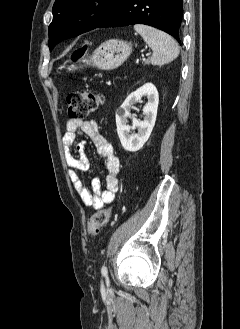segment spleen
Returning a JSON list of instances; mask_svg holds the SVG:
<instances>
[{"mask_svg": "<svg viewBox=\"0 0 240 329\" xmlns=\"http://www.w3.org/2000/svg\"><path fill=\"white\" fill-rule=\"evenodd\" d=\"M134 29L152 49V65H163L178 57L179 46L167 33L143 24L134 25Z\"/></svg>", "mask_w": 240, "mask_h": 329, "instance_id": "1", "label": "spleen"}]
</instances>
